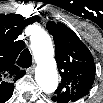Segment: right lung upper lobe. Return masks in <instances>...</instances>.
<instances>
[{
	"label": "right lung upper lobe",
	"instance_id": "1",
	"mask_svg": "<svg viewBox=\"0 0 103 103\" xmlns=\"http://www.w3.org/2000/svg\"><path fill=\"white\" fill-rule=\"evenodd\" d=\"M34 22V17L22 15H0V98L8 99L14 90L13 82L21 78L25 71L15 65V60L24 48L17 37L27 25Z\"/></svg>",
	"mask_w": 103,
	"mask_h": 103
}]
</instances>
